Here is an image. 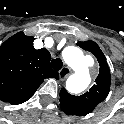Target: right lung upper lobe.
<instances>
[{
  "label": "right lung upper lobe",
  "instance_id": "right-lung-upper-lobe-1",
  "mask_svg": "<svg viewBox=\"0 0 124 124\" xmlns=\"http://www.w3.org/2000/svg\"><path fill=\"white\" fill-rule=\"evenodd\" d=\"M34 38L18 32L0 46V99L12 105L30 99L46 78H59L50 68V53L33 46Z\"/></svg>",
  "mask_w": 124,
  "mask_h": 124
}]
</instances>
